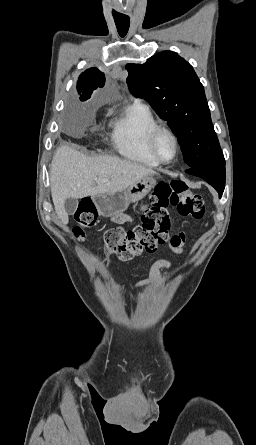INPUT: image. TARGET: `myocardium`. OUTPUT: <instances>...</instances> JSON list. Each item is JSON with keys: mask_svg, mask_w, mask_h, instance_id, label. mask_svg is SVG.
Segmentation results:
<instances>
[{"mask_svg": "<svg viewBox=\"0 0 256 445\" xmlns=\"http://www.w3.org/2000/svg\"><path fill=\"white\" fill-rule=\"evenodd\" d=\"M162 134L169 135L174 142L175 153L171 160H164L161 157V155L159 154L157 144H158V139ZM148 146H149V151H150L151 155L153 156V158L159 164H163V165H168V164L173 163L177 159L179 152H180V144H179L177 135L175 134V132L172 129H170L169 127L164 126V125H157L152 130V132L150 133V136H149Z\"/></svg>", "mask_w": 256, "mask_h": 445, "instance_id": "f54148a6", "label": "myocardium"}]
</instances>
